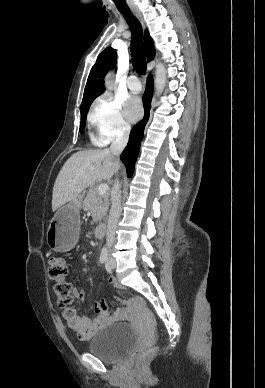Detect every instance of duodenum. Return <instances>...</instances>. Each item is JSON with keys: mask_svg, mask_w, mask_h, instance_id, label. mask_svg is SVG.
<instances>
[{"mask_svg": "<svg viewBox=\"0 0 265 388\" xmlns=\"http://www.w3.org/2000/svg\"><path fill=\"white\" fill-rule=\"evenodd\" d=\"M105 231H106V224L105 223H100L99 225H97V227L95 229L96 237L102 238L104 236V234H105Z\"/></svg>", "mask_w": 265, "mask_h": 388, "instance_id": "410a0bca", "label": "duodenum"}]
</instances>
